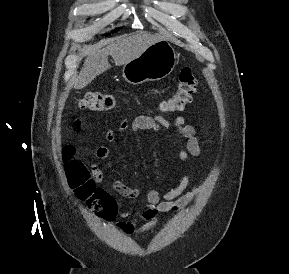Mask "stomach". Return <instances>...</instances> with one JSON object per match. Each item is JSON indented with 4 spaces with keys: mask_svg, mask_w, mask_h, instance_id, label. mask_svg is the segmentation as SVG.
<instances>
[{
    "mask_svg": "<svg viewBox=\"0 0 289 274\" xmlns=\"http://www.w3.org/2000/svg\"><path fill=\"white\" fill-rule=\"evenodd\" d=\"M177 64L172 45L160 40L150 45L138 57L123 66L122 76L130 84L159 81L167 77Z\"/></svg>",
    "mask_w": 289,
    "mask_h": 274,
    "instance_id": "obj_1",
    "label": "stomach"
}]
</instances>
